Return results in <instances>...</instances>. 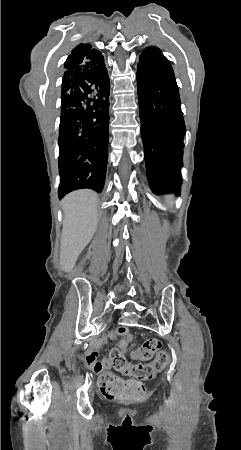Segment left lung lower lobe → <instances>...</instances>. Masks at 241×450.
I'll use <instances>...</instances> for the list:
<instances>
[{"label":"left lung lower lobe","instance_id":"left-lung-lower-lobe-1","mask_svg":"<svg viewBox=\"0 0 241 450\" xmlns=\"http://www.w3.org/2000/svg\"><path fill=\"white\" fill-rule=\"evenodd\" d=\"M137 88L150 188L179 195L186 129L174 71L160 49L148 47L140 55Z\"/></svg>","mask_w":241,"mask_h":450}]
</instances>
